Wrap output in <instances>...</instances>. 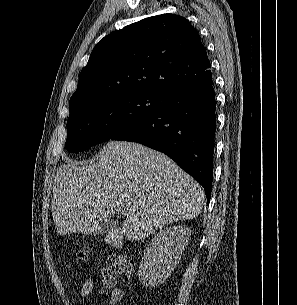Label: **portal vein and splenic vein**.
I'll return each mask as SVG.
<instances>
[{
    "label": "portal vein and splenic vein",
    "mask_w": 297,
    "mask_h": 305,
    "mask_svg": "<svg viewBox=\"0 0 297 305\" xmlns=\"http://www.w3.org/2000/svg\"><path fill=\"white\" fill-rule=\"evenodd\" d=\"M118 213L120 214V215H125V210L123 209V208H118Z\"/></svg>",
    "instance_id": "1"
}]
</instances>
